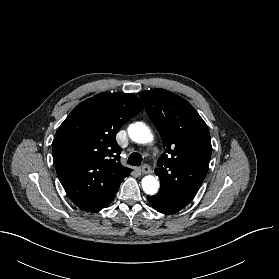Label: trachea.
Returning a JSON list of instances; mask_svg holds the SVG:
<instances>
[{
    "label": "trachea",
    "mask_w": 279,
    "mask_h": 279,
    "mask_svg": "<svg viewBox=\"0 0 279 279\" xmlns=\"http://www.w3.org/2000/svg\"><path fill=\"white\" fill-rule=\"evenodd\" d=\"M142 162V156L138 152L130 154L127 163L132 166H140Z\"/></svg>",
    "instance_id": "1"
}]
</instances>
